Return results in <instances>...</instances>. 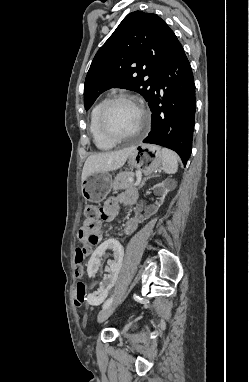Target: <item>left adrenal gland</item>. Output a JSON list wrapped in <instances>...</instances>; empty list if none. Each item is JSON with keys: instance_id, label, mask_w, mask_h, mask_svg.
Masks as SVG:
<instances>
[{"instance_id": "obj_1", "label": "left adrenal gland", "mask_w": 249, "mask_h": 382, "mask_svg": "<svg viewBox=\"0 0 249 382\" xmlns=\"http://www.w3.org/2000/svg\"><path fill=\"white\" fill-rule=\"evenodd\" d=\"M147 179H149V178L147 177V178H144V179H143L142 183H141L140 186H139V189L142 188V187L144 186L145 181H146Z\"/></svg>"}]
</instances>
